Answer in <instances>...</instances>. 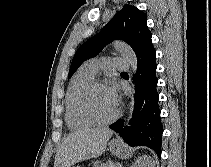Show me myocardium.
I'll return each instance as SVG.
<instances>
[{
	"instance_id": "obj_1",
	"label": "myocardium",
	"mask_w": 211,
	"mask_h": 167,
	"mask_svg": "<svg viewBox=\"0 0 211 167\" xmlns=\"http://www.w3.org/2000/svg\"><path fill=\"white\" fill-rule=\"evenodd\" d=\"M97 87H105V84L100 80H93L84 88L79 98L78 108L81 115L91 124L97 125V126H105L114 122L118 118L119 109L118 107H116L114 114L108 119L101 120V119L96 118L89 110L88 98L90 94L92 93V91Z\"/></svg>"
}]
</instances>
